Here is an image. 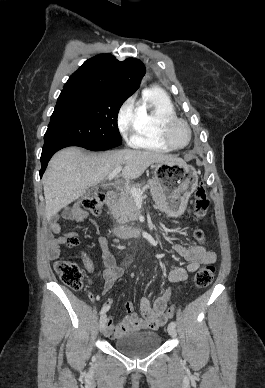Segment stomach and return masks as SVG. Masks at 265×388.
I'll return each instance as SVG.
<instances>
[{
  "mask_svg": "<svg viewBox=\"0 0 265 388\" xmlns=\"http://www.w3.org/2000/svg\"><path fill=\"white\" fill-rule=\"evenodd\" d=\"M154 180L166 195L165 210L170 215H179L185 211L191 194L198 186L196 170L185 162L178 161L156 163Z\"/></svg>",
  "mask_w": 265,
  "mask_h": 388,
  "instance_id": "obj_1",
  "label": "stomach"
}]
</instances>
